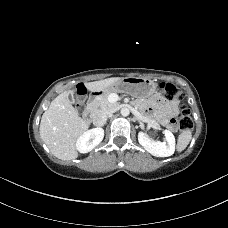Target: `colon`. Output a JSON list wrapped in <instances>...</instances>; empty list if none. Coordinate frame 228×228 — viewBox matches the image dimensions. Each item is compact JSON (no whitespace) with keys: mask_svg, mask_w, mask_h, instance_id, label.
Instances as JSON below:
<instances>
[{"mask_svg":"<svg viewBox=\"0 0 228 228\" xmlns=\"http://www.w3.org/2000/svg\"><path fill=\"white\" fill-rule=\"evenodd\" d=\"M86 93L87 91L84 85L77 86L76 94L80 104L84 102ZM160 93L164 99L181 102L179 116L177 119H172L169 122V128L172 130L179 129L180 131L191 130L193 122L190 116V110L185 103L184 92L171 82H162L160 84Z\"/></svg>","mask_w":228,"mask_h":228,"instance_id":"1","label":"colon"}]
</instances>
